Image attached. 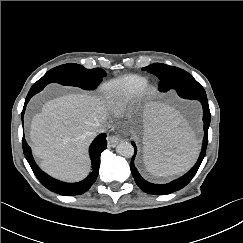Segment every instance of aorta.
Instances as JSON below:
<instances>
[{"label": "aorta", "mask_w": 243, "mask_h": 243, "mask_svg": "<svg viewBox=\"0 0 243 243\" xmlns=\"http://www.w3.org/2000/svg\"><path fill=\"white\" fill-rule=\"evenodd\" d=\"M116 152L125 158H131L134 154V148L128 142H121L117 145Z\"/></svg>", "instance_id": "aorta-1"}]
</instances>
